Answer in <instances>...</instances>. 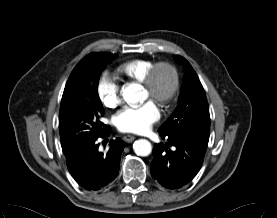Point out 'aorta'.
<instances>
[{
	"instance_id": "762f6f07",
	"label": "aorta",
	"mask_w": 277,
	"mask_h": 218,
	"mask_svg": "<svg viewBox=\"0 0 277 218\" xmlns=\"http://www.w3.org/2000/svg\"><path fill=\"white\" fill-rule=\"evenodd\" d=\"M125 100L129 103H138L141 98L138 91L132 88H127L125 91ZM133 149L138 156L144 157L151 153L152 146L149 141L140 139L134 142Z\"/></svg>"
}]
</instances>
